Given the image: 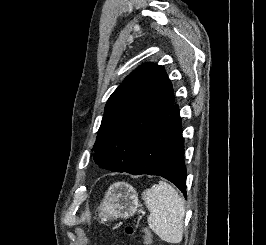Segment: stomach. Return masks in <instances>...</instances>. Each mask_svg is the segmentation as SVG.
I'll return each mask as SVG.
<instances>
[{
  "label": "stomach",
  "instance_id": "obj_1",
  "mask_svg": "<svg viewBox=\"0 0 266 245\" xmlns=\"http://www.w3.org/2000/svg\"><path fill=\"white\" fill-rule=\"evenodd\" d=\"M139 207L138 193L128 183H113L110 185L98 209L101 223L116 221V219H130Z\"/></svg>",
  "mask_w": 266,
  "mask_h": 245
}]
</instances>
